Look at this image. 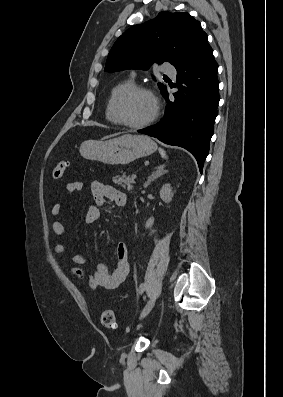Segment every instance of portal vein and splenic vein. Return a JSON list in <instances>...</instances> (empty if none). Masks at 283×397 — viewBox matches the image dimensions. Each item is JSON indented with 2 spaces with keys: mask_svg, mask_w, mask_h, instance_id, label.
Returning <instances> with one entry per match:
<instances>
[{
  "mask_svg": "<svg viewBox=\"0 0 283 397\" xmlns=\"http://www.w3.org/2000/svg\"><path fill=\"white\" fill-rule=\"evenodd\" d=\"M136 177H137L136 174H132L133 179H136Z\"/></svg>",
  "mask_w": 283,
  "mask_h": 397,
  "instance_id": "obj_1",
  "label": "portal vein and splenic vein"
}]
</instances>
